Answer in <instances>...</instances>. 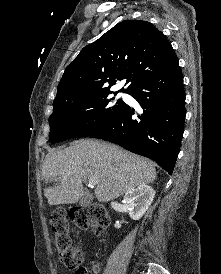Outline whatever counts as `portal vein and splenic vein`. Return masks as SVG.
Segmentation results:
<instances>
[{
    "mask_svg": "<svg viewBox=\"0 0 221 274\" xmlns=\"http://www.w3.org/2000/svg\"><path fill=\"white\" fill-rule=\"evenodd\" d=\"M97 184V180L96 179H89V185L90 186H94Z\"/></svg>",
    "mask_w": 221,
    "mask_h": 274,
    "instance_id": "18ae733b",
    "label": "portal vein and splenic vein"
}]
</instances>
